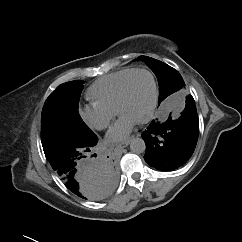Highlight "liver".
<instances>
[{
	"mask_svg": "<svg viewBox=\"0 0 242 242\" xmlns=\"http://www.w3.org/2000/svg\"><path fill=\"white\" fill-rule=\"evenodd\" d=\"M107 193L103 192V188L101 184L94 185V186H89L88 190H86V195L89 200H99L105 197Z\"/></svg>",
	"mask_w": 242,
	"mask_h": 242,
	"instance_id": "liver-1",
	"label": "liver"
}]
</instances>
